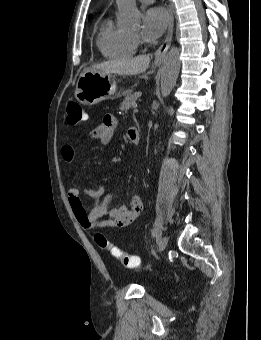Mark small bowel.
<instances>
[{
    "instance_id": "c3829d8e",
    "label": "small bowel",
    "mask_w": 261,
    "mask_h": 340,
    "mask_svg": "<svg viewBox=\"0 0 261 340\" xmlns=\"http://www.w3.org/2000/svg\"><path fill=\"white\" fill-rule=\"evenodd\" d=\"M116 125L115 117L106 115L101 124L93 128L89 135L107 145L111 142ZM61 154L65 161L72 162L74 159L73 146L65 144L61 148ZM81 196L89 198L92 204L85 206ZM113 198L114 194L108 193L103 185L95 189L73 185L68 191V201L73 214L81 227L86 230L123 228L138 218L143 208L139 195L131 196L129 206L121 204L110 208ZM103 217L106 219H102Z\"/></svg>"
}]
</instances>
